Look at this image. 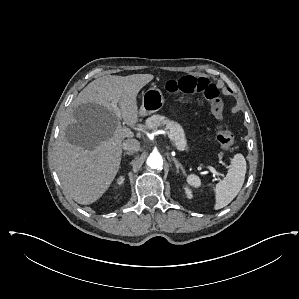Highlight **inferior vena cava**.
<instances>
[{
  "label": "inferior vena cava",
  "mask_w": 299,
  "mask_h": 299,
  "mask_svg": "<svg viewBox=\"0 0 299 299\" xmlns=\"http://www.w3.org/2000/svg\"><path fill=\"white\" fill-rule=\"evenodd\" d=\"M122 148L128 152L134 153L140 149V142L136 139H126L122 143Z\"/></svg>",
  "instance_id": "inferior-vena-cava-1"
}]
</instances>
